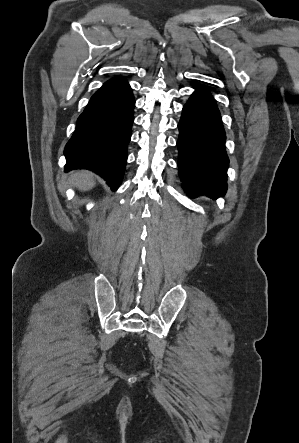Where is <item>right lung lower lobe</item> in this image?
I'll return each mask as SVG.
<instances>
[{"label": "right lung lower lobe", "mask_w": 299, "mask_h": 443, "mask_svg": "<svg viewBox=\"0 0 299 443\" xmlns=\"http://www.w3.org/2000/svg\"><path fill=\"white\" fill-rule=\"evenodd\" d=\"M134 106L128 82L122 77L108 80L78 118L64 150L65 171L89 169L116 190L124 174Z\"/></svg>", "instance_id": "obj_1"}]
</instances>
